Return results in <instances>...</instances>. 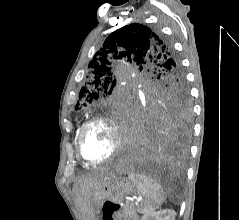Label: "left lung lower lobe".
<instances>
[{
	"instance_id": "1",
	"label": "left lung lower lobe",
	"mask_w": 239,
	"mask_h": 220,
	"mask_svg": "<svg viewBox=\"0 0 239 220\" xmlns=\"http://www.w3.org/2000/svg\"><path fill=\"white\" fill-rule=\"evenodd\" d=\"M188 117L175 111L130 110L126 118L131 137L127 161L139 167L181 165L188 153Z\"/></svg>"
}]
</instances>
